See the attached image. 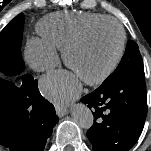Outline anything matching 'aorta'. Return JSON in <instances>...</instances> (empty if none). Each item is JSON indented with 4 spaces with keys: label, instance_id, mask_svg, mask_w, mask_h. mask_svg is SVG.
<instances>
[{
    "label": "aorta",
    "instance_id": "obj_1",
    "mask_svg": "<svg viewBox=\"0 0 151 151\" xmlns=\"http://www.w3.org/2000/svg\"><path fill=\"white\" fill-rule=\"evenodd\" d=\"M75 123L83 129H89L93 125V114L91 110L82 103L74 104L70 110Z\"/></svg>",
    "mask_w": 151,
    "mask_h": 151
}]
</instances>
